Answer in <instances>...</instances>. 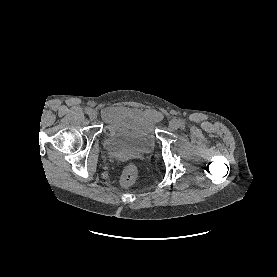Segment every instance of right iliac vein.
<instances>
[{
  "instance_id": "right-iliac-vein-1",
  "label": "right iliac vein",
  "mask_w": 277,
  "mask_h": 277,
  "mask_svg": "<svg viewBox=\"0 0 277 277\" xmlns=\"http://www.w3.org/2000/svg\"><path fill=\"white\" fill-rule=\"evenodd\" d=\"M89 117L91 120H96L97 119V112L92 110L91 113L89 114Z\"/></svg>"
}]
</instances>
